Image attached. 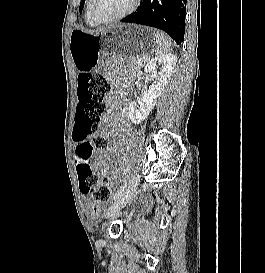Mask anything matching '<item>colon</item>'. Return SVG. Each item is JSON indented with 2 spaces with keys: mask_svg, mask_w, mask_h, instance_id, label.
Here are the masks:
<instances>
[{
  "mask_svg": "<svg viewBox=\"0 0 265 273\" xmlns=\"http://www.w3.org/2000/svg\"><path fill=\"white\" fill-rule=\"evenodd\" d=\"M77 83V118L71 138L80 143L76 147L79 188L88 195L89 206L95 207L109 199L110 189L105 180H101L92 163L84 164L83 160H93L96 153H102L107 148L106 137L98 132L101 119L107 112L104 98L110 91V84L103 75L85 71L79 73ZM88 138L91 140L88 141Z\"/></svg>",
  "mask_w": 265,
  "mask_h": 273,
  "instance_id": "1",
  "label": "colon"
}]
</instances>
